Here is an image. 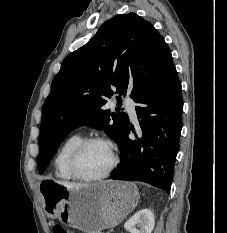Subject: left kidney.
I'll return each instance as SVG.
<instances>
[{
  "mask_svg": "<svg viewBox=\"0 0 227 233\" xmlns=\"http://www.w3.org/2000/svg\"><path fill=\"white\" fill-rule=\"evenodd\" d=\"M154 225L155 218L152 211L142 209L124 224V228L130 233H151Z\"/></svg>",
  "mask_w": 227,
  "mask_h": 233,
  "instance_id": "5707ae66",
  "label": "left kidney"
}]
</instances>
